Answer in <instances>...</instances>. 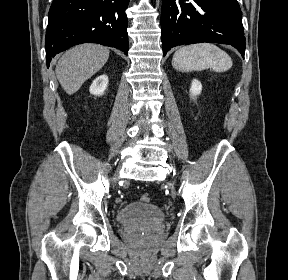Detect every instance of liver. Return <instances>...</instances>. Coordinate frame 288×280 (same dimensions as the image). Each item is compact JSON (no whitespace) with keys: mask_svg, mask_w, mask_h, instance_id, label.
<instances>
[{"mask_svg":"<svg viewBox=\"0 0 288 280\" xmlns=\"http://www.w3.org/2000/svg\"><path fill=\"white\" fill-rule=\"evenodd\" d=\"M109 49L97 44H83L66 51L56 66V76L66 93L77 92L82 84L107 62Z\"/></svg>","mask_w":288,"mask_h":280,"instance_id":"1","label":"liver"}]
</instances>
